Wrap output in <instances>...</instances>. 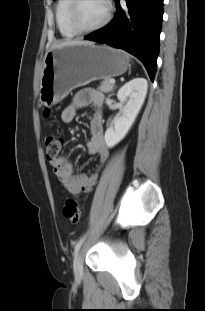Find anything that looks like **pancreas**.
Instances as JSON below:
<instances>
[{"mask_svg":"<svg viewBox=\"0 0 205 311\" xmlns=\"http://www.w3.org/2000/svg\"><path fill=\"white\" fill-rule=\"evenodd\" d=\"M98 89L101 91V92H104V93H109L111 91H113L114 89V84H111L110 83V79L109 78H106L104 79L100 86L98 87Z\"/></svg>","mask_w":205,"mask_h":311,"instance_id":"cf45deb5","label":"pancreas"}]
</instances>
